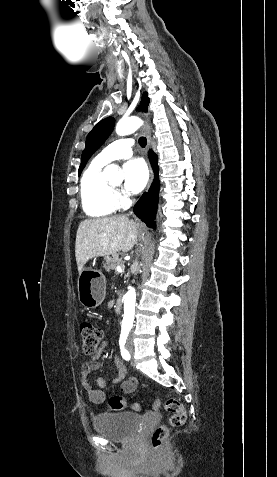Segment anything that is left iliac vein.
I'll list each match as a JSON object with an SVG mask.
<instances>
[{
    "label": "left iliac vein",
    "instance_id": "left-iliac-vein-1",
    "mask_svg": "<svg viewBox=\"0 0 277 477\" xmlns=\"http://www.w3.org/2000/svg\"><path fill=\"white\" fill-rule=\"evenodd\" d=\"M128 345H129L130 352H131V354H132V353H133V349H132L131 342H129V344H128Z\"/></svg>",
    "mask_w": 277,
    "mask_h": 477
}]
</instances>
